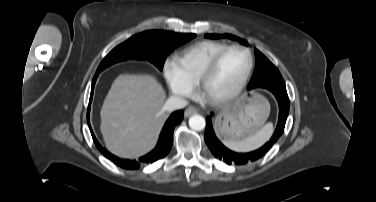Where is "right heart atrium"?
Instances as JSON below:
<instances>
[{
    "mask_svg": "<svg viewBox=\"0 0 376 202\" xmlns=\"http://www.w3.org/2000/svg\"><path fill=\"white\" fill-rule=\"evenodd\" d=\"M163 73L167 87L173 95L187 98L193 94V86L183 78L174 59H167L164 62Z\"/></svg>",
    "mask_w": 376,
    "mask_h": 202,
    "instance_id": "d8ad5b80",
    "label": "right heart atrium"
}]
</instances>
